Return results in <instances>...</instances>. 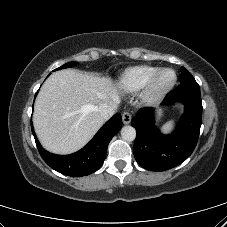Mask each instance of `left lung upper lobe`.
Listing matches in <instances>:
<instances>
[{"instance_id": "5c2ea615", "label": "left lung upper lobe", "mask_w": 227, "mask_h": 227, "mask_svg": "<svg viewBox=\"0 0 227 227\" xmlns=\"http://www.w3.org/2000/svg\"><path fill=\"white\" fill-rule=\"evenodd\" d=\"M181 79L180 82L189 80V79H194V77L191 75V73L186 70L184 67L181 68Z\"/></svg>"}]
</instances>
